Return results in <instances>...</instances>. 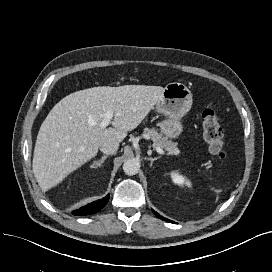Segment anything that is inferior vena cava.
<instances>
[{
    "instance_id": "602c4592",
    "label": "inferior vena cava",
    "mask_w": 272,
    "mask_h": 272,
    "mask_svg": "<svg viewBox=\"0 0 272 272\" xmlns=\"http://www.w3.org/2000/svg\"><path fill=\"white\" fill-rule=\"evenodd\" d=\"M118 146L119 145L117 143L105 142L104 144L101 145L100 150L104 154L112 155L117 152Z\"/></svg>"
}]
</instances>
